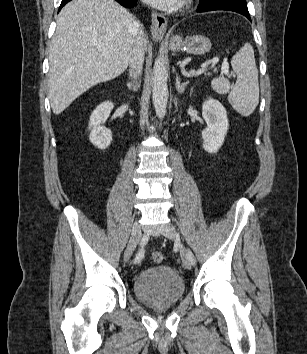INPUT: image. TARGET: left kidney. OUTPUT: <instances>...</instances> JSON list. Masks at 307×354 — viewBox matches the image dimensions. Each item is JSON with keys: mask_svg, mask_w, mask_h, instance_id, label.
<instances>
[{"mask_svg": "<svg viewBox=\"0 0 307 354\" xmlns=\"http://www.w3.org/2000/svg\"><path fill=\"white\" fill-rule=\"evenodd\" d=\"M202 116L207 124L202 131L203 148L208 153H216L229 129L226 110L219 101L208 98L203 102Z\"/></svg>", "mask_w": 307, "mask_h": 354, "instance_id": "obj_1", "label": "left kidney"}]
</instances>
